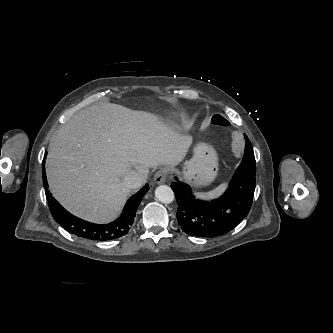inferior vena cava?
Masks as SVG:
<instances>
[{
    "instance_id": "obj_1",
    "label": "inferior vena cava",
    "mask_w": 333,
    "mask_h": 333,
    "mask_svg": "<svg viewBox=\"0 0 333 333\" xmlns=\"http://www.w3.org/2000/svg\"><path fill=\"white\" fill-rule=\"evenodd\" d=\"M143 177L136 171H130L124 176V184L129 189H135L143 183Z\"/></svg>"
}]
</instances>
